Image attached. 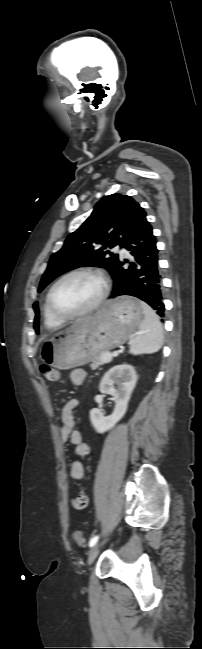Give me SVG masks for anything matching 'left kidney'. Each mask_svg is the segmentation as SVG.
I'll return each instance as SVG.
<instances>
[{"instance_id":"5707ae66","label":"left kidney","mask_w":202,"mask_h":649,"mask_svg":"<svg viewBox=\"0 0 202 649\" xmlns=\"http://www.w3.org/2000/svg\"><path fill=\"white\" fill-rule=\"evenodd\" d=\"M136 382V372L128 364L115 366L103 376L99 390L113 396L112 400L115 402V408L112 414L106 417L98 408L90 411V421L96 432L104 433L110 430L123 418Z\"/></svg>"}]
</instances>
